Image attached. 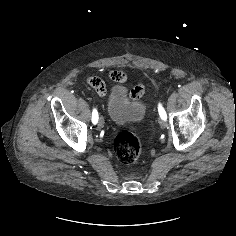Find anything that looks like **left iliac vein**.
Returning a JSON list of instances; mask_svg holds the SVG:
<instances>
[{
	"instance_id": "1",
	"label": "left iliac vein",
	"mask_w": 236,
	"mask_h": 236,
	"mask_svg": "<svg viewBox=\"0 0 236 236\" xmlns=\"http://www.w3.org/2000/svg\"><path fill=\"white\" fill-rule=\"evenodd\" d=\"M159 124H160L161 128H165L167 125L166 121L162 118L159 120Z\"/></svg>"
}]
</instances>
